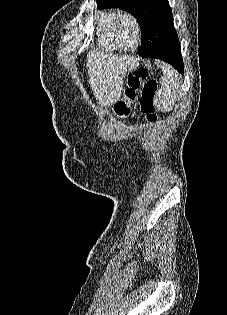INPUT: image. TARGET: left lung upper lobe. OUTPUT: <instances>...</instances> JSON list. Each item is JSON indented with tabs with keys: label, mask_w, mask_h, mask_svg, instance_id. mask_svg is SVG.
I'll use <instances>...</instances> for the list:
<instances>
[{
	"label": "left lung upper lobe",
	"mask_w": 227,
	"mask_h": 315,
	"mask_svg": "<svg viewBox=\"0 0 227 315\" xmlns=\"http://www.w3.org/2000/svg\"><path fill=\"white\" fill-rule=\"evenodd\" d=\"M99 8H120L135 16L141 36L150 39L160 51L180 48L168 0H97Z\"/></svg>",
	"instance_id": "left-lung-upper-lobe-1"
}]
</instances>
